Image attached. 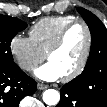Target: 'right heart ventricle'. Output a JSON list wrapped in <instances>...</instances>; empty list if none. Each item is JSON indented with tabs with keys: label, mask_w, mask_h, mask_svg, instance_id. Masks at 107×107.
Listing matches in <instances>:
<instances>
[{
	"label": "right heart ventricle",
	"mask_w": 107,
	"mask_h": 107,
	"mask_svg": "<svg viewBox=\"0 0 107 107\" xmlns=\"http://www.w3.org/2000/svg\"><path fill=\"white\" fill-rule=\"evenodd\" d=\"M73 20L75 17L71 15L44 17L30 28V38L46 54L60 31Z\"/></svg>",
	"instance_id": "1"
}]
</instances>
